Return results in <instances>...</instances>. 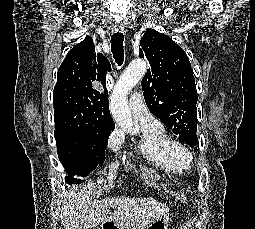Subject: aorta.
I'll return each mask as SVG.
<instances>
[{
    "label": "aorta",
    "instance_id": "obj_1",
    "mask_svg": "<svg viewBox=\"0 0 255 229\" xmlns=\"http://www.w3.org/2000/svg\"><path fill=\"white\" fill-rule=\"evenodd\" d=\"M146 62L142 59L132 61L116 83L110 100L111 114L116 123L129 134H137L127 103V94L146 73Z\"/></svg>",
    "mask_w": 255,
    "mask_h": 229
}]
</instances>
